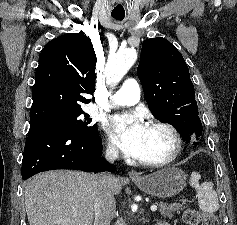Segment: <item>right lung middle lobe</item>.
<instances>
[{"label": "right lung middle lobe", "mask_w": 237, "mask_h": 225, "mask_svg": "<svg viewBox=\"0 0 237 225\" xmlns=\"http://www.w3.org/2000/svg\"><path fill=\"white\" fill-rule=\"evenodd\" d=\"M84 115V118L80 115ZM92 119L82 110L53 116L30 125H44L49 127L60 128L80 135H93L98 133L97 124H92Z\"/></svg>", "instance_id": "obj_1"}]
</instances>
